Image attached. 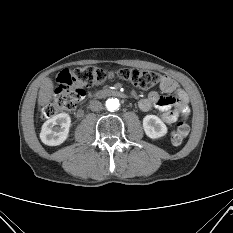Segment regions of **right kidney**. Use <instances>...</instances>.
<instances>
[{"label":"right kidney","mask_w":233,"mask_h":233,"mask_svg":"<svg viewBox=\"0 0 233 233\" xmlns=\"http://www.w3.org/2000/svg\"><path fill=\"white\" fill-rule=\"evenodd\" d=\"M71 118L66 113H60L43 125L40 133L41 141L48 146H57L62 144L68 137Z\"/></svg>","instance_id":"ca27d5eb"}]
</instances>
